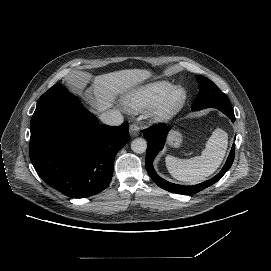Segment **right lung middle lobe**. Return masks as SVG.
<instances>
[{"mask_svg": "<svg viewBox=\"0 0 271 271\" xmlns=\"http://www.w3.org/2000/svg\"><path fill=\"white\" fill-rule=\"evenodd\" d=\"M61 93H68L67 90L60 84H56L53 87H51L46 93H44L40 99L38 100V103L45 101L47 99H50L56 95H59Z\"/></svg>", "mask_w": 271, "mask_h": 271, "instance_id": "obj_1", "label": "right lung middle lobe"}]
</instances>
